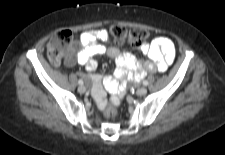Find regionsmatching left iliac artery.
I'll use <instances>...</instances> for the list:
<instances>
[{"label": "left iliac artery", "instance_id": "left-iliac-artery-1", "mask_svg": "<svg viewBox=\"0 0 225 155\" xmlns=\"http://www.w3.org/2000/svg\"><path fill=\"white\" fill-rule=\"evenodd\" d=\"M143 85H144V86H147V85H148V81H147V80H144V81H143Z\"/></svg>", "mask_w": 225, "mask_h": 155}]
</instances>
